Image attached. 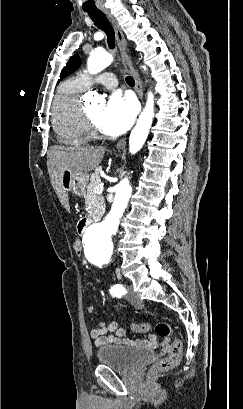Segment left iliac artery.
Here are the masks:
<instances>
[{
	"mask_svg": "<svg viewBox=\"0 0 243 409\" xmlns=\"http://www.w3.org/2000/svg\"><path fill=\"white\" fill-rule=\"evenodd\" d=\"M110 293L113 296L121 297L124 293H126V291L122 285L116 284L112 286V288L110 289Z\"/></svg>",
	"mask_w": 243,
	"mask_h": 409,
	"instance_id": "obj_1",
	"label": "left iliac artery"
}]
</instances>
